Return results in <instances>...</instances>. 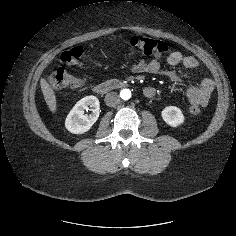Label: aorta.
Here are the masks:
<instances>
[{"label":"aorta","mask_w":236,"mask_h":236,"mask_svg":"<svg viewBox=\"0 0 236 236\" xmlns=\"http://www.w3.org/2000/svg\"><path fill=\"white\" fill-rule=\"evenodd\" d=\"M120 97L123 100H128L131 98V91L129 89H122L120 92Z\"/></svg>","instance_id":"762f6f07"}]
</instances>
